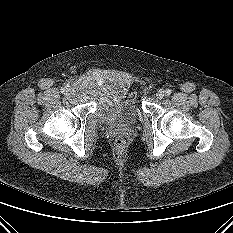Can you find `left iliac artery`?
<instances>
[{
	"label": "left iliac artery",
	"mask_w": 233,
	"mask_h": 233,
	"mask_svg": "<svg viewBox=\"0 0 233 233\" xmlns=\"http://www.w3.org/2000/svg\"><path fill=\"white\" fill-rule=\"evenodd\" d=\"M165 95L166 96H170L171 95V90L170 89H166L165 90Z\"/></svg>",
	"instance_id": "obj_1"
}]
</instances>
